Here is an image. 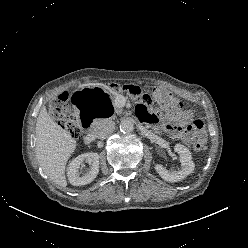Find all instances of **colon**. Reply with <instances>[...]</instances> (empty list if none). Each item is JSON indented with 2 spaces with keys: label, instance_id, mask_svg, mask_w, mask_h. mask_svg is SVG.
<instances>
[{
  "label": "colon",
  "instance_id": "5ec220e1",
  "mask_svg": "<svg viewBox=\"0 0 248 248\" xmlns=\"http://www.w3.org/2000/svg\"><path fill=\"white\" fill-rule=\"evenodd\" d=\"M115 91H124L141 102L143 105H151L157 103L164 110L172 114H185L182 110L181 102L169 92L163 89H155L153 91H142L138 86L134 85H111ZM49 113L59 125H61L74 139H79L82 135V116L77 115L72 108L68 94L63 93L54 99L49 106ZM192 126L197 129H203V121L199 118L192 120ZM205 141L199 140L194 144L196 151L205 149Z\"/></svg>",
  "mask_w": 248,
  "mask_h": 248
}]
</instances>
